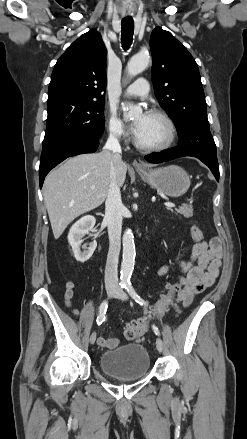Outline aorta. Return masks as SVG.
I'll return each mask as SVG.
<instances>
[{
	"mask_svg": "<svg viewBox=\"0 0 247 439\" xmlns=\"http://www.w3.org/2000/svg\"><path fill=\"white\" fill-rule=\"evenodd\" d=\"M150 63V56L147 53H138L134 55L127 64V72L130 76H136L145 70ZM142 109L134 104L126 105L125 118L131 119L140 116ZM135 244L134 236L131 229H126L123 235V260L121 263V283L126 284L130 281L134 263H135Z\"/></svg>",
	"mask_w": 247,
	"mask_h": 439,
	"instance_id": "obj_1",
	"label": "aorta"
}]
</instances>
